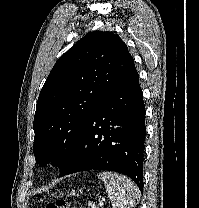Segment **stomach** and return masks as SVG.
I'll list each match as a JSON object with an SVG mask.
<instances>
[{"mask_svg":"<svg viewBox=\"0 0 199 208\" xmlns=\"http://www.w3.org/2000/svg\"><path fill=\"white\" fill-rule=\"evenodd\" d=\"M74 194H75V190H72L69 195H74Z\"/></svg>","mask_w":199,"mask_h":208,"instance_id":"stomach-1","label":"stomach"}]
</instances>
